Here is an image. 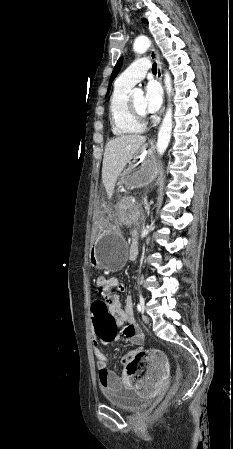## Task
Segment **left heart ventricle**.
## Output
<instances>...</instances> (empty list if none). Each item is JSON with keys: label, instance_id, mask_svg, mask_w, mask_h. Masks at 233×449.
Here are the masks:
<instances>
[{"label": "left heart ventricle", "instance_id": "obj_1", "mask_svg": "<svg viewBox=\"0 0 233 449\" xmlns=\"http://www.w3.org/2000/svg\"><path fill=\"white\" fill-rule=\"evenodd\" d=\"M132 99H133V102H134L135 106L137 107V109L141 112H145L144 96L137 95V96H133Z\"/></svg>", "mask_w": 233, "mask_h": 449}]
</instances>
